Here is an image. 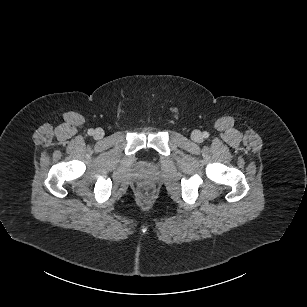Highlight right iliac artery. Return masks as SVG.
<instances>
[{"instance_id": "right-iliac-artery-1", "label": "right iliac artery", "mask_w": 307, "mask_h": 307, "mask_svg": "<svg viewBox=\"0 0 307 307\" xmlns=\"http://www.w3.org/2000/svg\"><path fill=\"white\" fill-rule=\"evenodd\" d=\"M88 134H89V135H93V134H94V130H93V129H89V130H88Z\"/></svg>"}]
</instances>
